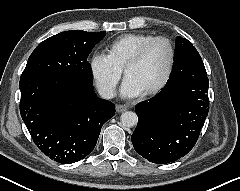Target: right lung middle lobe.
Listing matches in <instances>:
<instances>
[{
	"label": "right lung middle lobe",
	"instance_id": "1",
	"mask_svg": "<svg viewBox=\"0 0 240 191\" xmlns=\"http://www.w3.org/2000/svg\"><path fill=\"white\" fill-rule=\"evenodd\" d=\"M105 31H64L41 42L30 55L21 77L56 75L92 85V71L87 57Z\"/></svg>",
	"mask_w": 240,
	"mask_h": 191
}]
</instances>
